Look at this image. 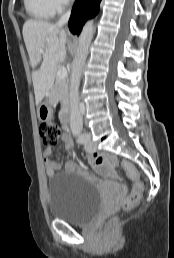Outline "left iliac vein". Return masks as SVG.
<instances>
[{
  "mask_svg": "<svg viewBox=\"0 0 174 258\" xmlns=\"http://www.w3.org/2000/svg\"><path fill=\"white\" fill-rule=\"evenodd\" d=\"M86 135H87V140L85 142V148L87 151L92 152L95 150V146H94L93 142L91 141L90 135L89 134H86Z\"/></svg>",
  "mask_w": 174,
  "mask_h": 258,
  "instance_id": "left-iliac-vein-1",
  "label": "left iliac vein"
}]
</instances>
